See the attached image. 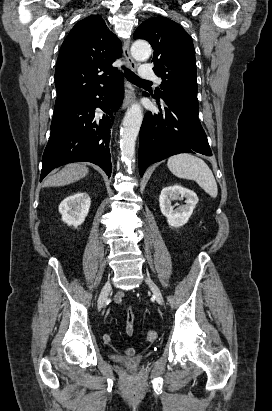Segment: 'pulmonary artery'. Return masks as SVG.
Segmentation results:
<instances>
[{
	"label": "pulmonary artery",
	"instance_id": "obj_1",
	"mask_svg": "<svg viewBox=\"0 0 272 411\" xmlns=\"http://www.w3.org/2000/svg\"><path fill=\"white\" fill-rule=\"evenodd\" d=\"M140 78L144 80H154L157 79V76L152 69V67L149 64H143L140 72H139Z\"/></svg>",
	"mask_w": 272,
	"mask_h": 411
}]
</instances>
